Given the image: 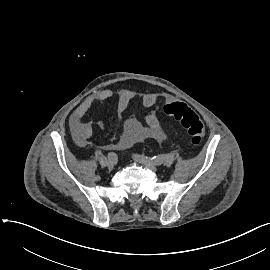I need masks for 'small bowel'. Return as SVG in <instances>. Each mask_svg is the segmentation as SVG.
<instances>
[{
    "instance_id": "obj_1",
    "label": "small bowel",
    "mask_w": 270,
    "mask_h": 270,
    "mask_svg": "<svg viewBox=\"0 0 270 270\" xmlns=\"http://www.w3.org/2000/svg\"><path fill=\"white\" fill-rule=\"evenodd\" d=\"M113 97V92L109 89H102L88 96L72 113L70 117V129L76 141L85 145L93 135V123L84 121L86 113L95 105H102ZM131 94L129 91L123 90L118 93L116 112L119 116L126 111L130 101ZM170 95L165 93H149L143 96L142 105L149 109L153 105L162 101H169ZM96 125L103 127V120H98ZM167 138V133L162 122L154 112H148L145 115L144 122L135 118L129 117L124 120L123 133L119 140L113 144L103 145L104 149L123 150L131 147L136 143L145 140H155L158 142L164 141Z\"/></svg>"
}]
</instances>
